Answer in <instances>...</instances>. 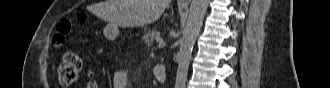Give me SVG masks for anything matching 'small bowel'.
<instances>
[{
    "instance_id": "obj_1",
    "label": "small bowel",
    "mask_w": 330,
    "mask_h": 88,
    "mask_svg": "<svg viewBox=\"0 0 330 88\" xmlns=\"http://www.w3.org/2000/svg\"><path fill=\"white\" fill-rule=\"evenodd\" d=\"M153 76L156 80L165 75V69L161 65H156L152 70ZM131 80V70H122L114 76V88H128Z\"/></svg>"
}]
</instances>
